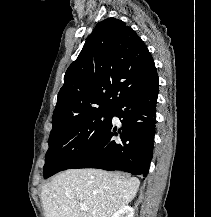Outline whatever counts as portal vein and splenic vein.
<instances>
[{
	"instance_id": "portal-vein-and-splenic-vein-1",
	"label": "portal vein and splenic vein",
	"mask_w": 211,
	"mask_h": 217,
	"mask_svg": "<svg viewBox=\"0 0 211 217\" xmlns=\"http://www.w3.org/2000/svg\"><path fill=\"white\" fill-rule=\"evenodd\" d=\"M83 210H87V207L86 206H82L81 207Z\"/></svg>"
}]
</instances>
